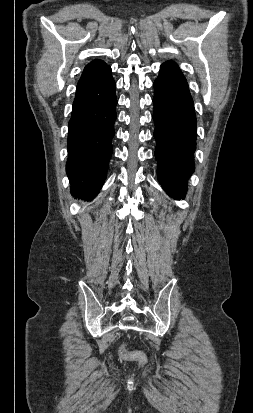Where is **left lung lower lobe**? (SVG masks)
Here are the masks:
<instances>
[{"label":"left lung lower lobe","instance_id":"left-lung-lower-lobe-1","mask_svg":"<svg viewBox=\"0 0 253 413\" xmlns=\"http://www.w3.org/2000/svg\"><path fill=\"white\" fill-rule=\"evenodd\" d=\"M153 98L157 175L163 189L174 199L184 198L194 171L196 116L187 81L178 65H161L154 82Z\"/></svg>","mask_w":253,"mask_h":413}]
</instances>
